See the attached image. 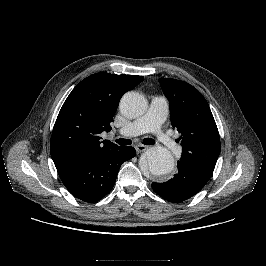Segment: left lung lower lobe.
Returning <instances> with one entry per match:
<instances>
[{
    "label": "left lung lower lobe",
    "instance_id": "0a47b994",
    "mask_svg": "<svg viewBox=\"0 0 266 266\" xmlns=\"http://www.w3.org/2000/svg\"><path fill=\"white\" fill-rule=\"evenodd\" d=\"M178 173L164 183H152L153 190L170 202H182L197 194L210 179L190 167L177 163Z\"/></svg>",
    "mask_w": 266,
    "mask_h": 266
}]
</instances>
